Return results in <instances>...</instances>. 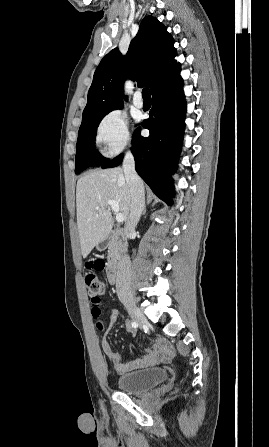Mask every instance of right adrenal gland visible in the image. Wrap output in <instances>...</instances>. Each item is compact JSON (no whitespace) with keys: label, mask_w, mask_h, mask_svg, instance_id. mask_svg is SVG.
<instances>
[{"label":"right adrenal gland","mask_w":269,"mask_h":447,"mask_svg":"<svg viewBox=\"0 0 269 447\" xmlns=\"http://www.w3.org/2000/svg\"><path fill=\"white\" fill-rule=\"evenodd\" d=\"M142 212H143L142 216H145V214H146V212H147V210H146V204H145V206H144Z\"/></svg>","instance_id":"2a0ac1e0"}]
</instances>
